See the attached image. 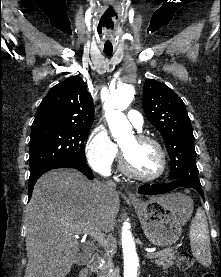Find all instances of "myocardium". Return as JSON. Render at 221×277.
<instances>
[{
    "label": "myocardium",
    "mask_w": 221,
    "mask_h": 277,
    "mask_svg": "<svg viewBox=\"0 0 221 277\" xmlns=\"http://www.w3.org/2000/svg\"><path fill=\"white\" fill-rule=\"evenodd\" d=\"M133 138L138 144L149 143V144L154 145L157 148V150L160 154V158H161L160 169L156 174H154L152 176L140 175L139 173L135 172L131 168L125 152L123 151L122 148H120V167H121V170L127 176H129L131 178H134L136 180H139V181H143V182H151V181H155V180L159 179L164 174V172L166 170V166H167V154H166L165 149L163 148L161 143L153 137L138 134V135H135Z\"/></svg>",
    "instance_id": "1"
}]
</instances>
